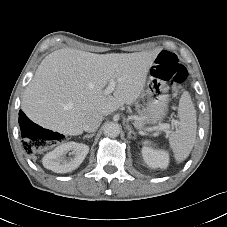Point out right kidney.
<instances>
[{"label": "right kidney", "instance_id": "ca27d5eb", "mask_svg": "<svg viewBox=\"0 0 227 227\" xmlns=\"http://www.w3.org/2000/svg\"><path fill=\"white\" fill-rule=\"evenodd\" d=\"M68 152H70L69 157L66 156ZM88 152L89 146L86 144L67 142L47 153L42 162L45 168L53 172L67 173L78 168Z\"/></svg>", "mask_w": 227, "mask_h": 227}]
</instances>
